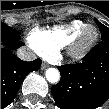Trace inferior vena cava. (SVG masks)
I'll return each mask as SVG.
<instances>
[{"label":"inferior vena cava","instance_id":"1","mask_svg":"<svg viewBox=\"0 0 109 109\" xmlns=\"http://www.w3.org/2000/svg\"><path fill=\"white\" fill-rule=\"evenodd\" d=\"M17 56L24 61H33L37 58L36 54L33 51L25 47H20L17 50Z\"/></svg>","mask_w":109,"mask_h":109}]
</instances>
